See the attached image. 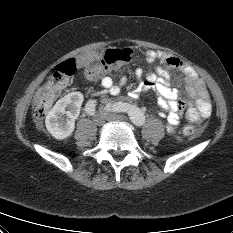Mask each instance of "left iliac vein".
Segmentation results:
<instances>
[{
    "label": "left iliac vein",
    "instance_id": "1",
    "mask_svg": "<svg viewBox=\"0 0 233 233\" xmlns=\"http://www.w3.org/2000/svg\"><path fill=\"white\" fill-rule=\"evenodd\" d=\"M101 112L106 116L109 121H126V117L118 114L111 113L107 108L101 109Z\"/></svg>",
    "mask_w": 233,
    "mask_h": 233
}]
</instances>
